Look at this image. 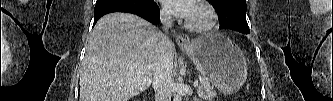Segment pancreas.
Here are the masks:
<instances>
[{
    "instance_id": "pancreas-1",
    "label": "pancreas",
    "mask_w": 333,
    "mask_h": 101,
    "mask_svg": "<svg viewBox=\"0 0 333 101\" xmlns=\"http://www.w3.org/2000/svg\"><path fill=\"white\" fill-rule=\"evenodd\" d=\"M215 94L216 92L214 90V87L211 85L209 80L203 78L197 88L198 97L205 100H211L213 99Z\"/></svg>"
}]
</instances>
